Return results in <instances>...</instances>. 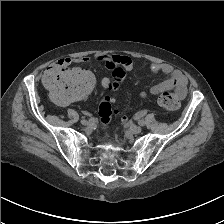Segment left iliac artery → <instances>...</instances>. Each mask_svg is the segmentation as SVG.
<instances>
[{
  "label": "left iliac artery",
  "mask_w": 224,
  "mask_h": 224,
  "mask_svg": "<svg viewBox=\"0 0 224 224\" xmlns=\"http://www.w3.org/2000/svg\"><path fill=\"white\" fill-rule=\"evenodd\" d=\"M138 124H139L140 126H144V125H145V122H144L143 120H139V121H138Z\"/></svg>",
  "instance_id": "left-iliac-artery-1"
}]
</instances>
